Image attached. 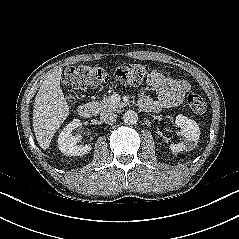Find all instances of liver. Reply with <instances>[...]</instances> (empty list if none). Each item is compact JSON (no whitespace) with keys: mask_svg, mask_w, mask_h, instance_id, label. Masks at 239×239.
<instances>
[{"mask_svg":"<svg viewBox=\"0 0 239 239\" xmlns=\"http://www.w3.org/2000/svg\"><path fill=\"white\" fill-rule=\"evenodd\" d=\"M61 75V67L49 71L35 97L33 129L36 140L44 150L69 115V106L60 87Z\"/></svg>","mask_w":239,"mask_h":239,"instance_id":"liver-1","label":"liver"}]
</instances>
